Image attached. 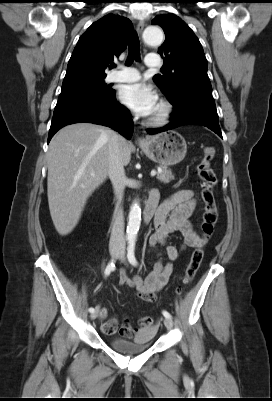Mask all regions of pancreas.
I'll return each instance as SVG.
<instances>
[{"label": "pancreas", "mask_w": 272, "mask_h": 401, "mask_svg": "<svg viewBox=\"0 0 272 401\" xmlns=\"http://www.w3.org/2000/svg\"><path fill=\"white\" fill-rule=\"evenodd\" d=\"M162 171L157 173V179L163 183H169L174 180V175L167 166H161Z\"/></svg>", "instance_id": "obj_1"}]
</instances>
